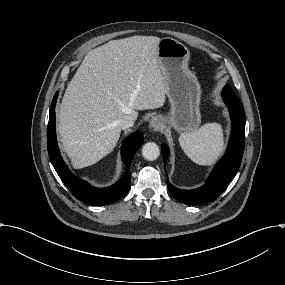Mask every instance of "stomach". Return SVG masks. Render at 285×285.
<instances>
[{"instance_id": "obj_1", "label": "stomach", "mask_w": 285, "mask_h": 285, "mask_svg": "<svg viewBox=\"0 0 285 285\" xmlns=\"http://www.w3.org/2000/svg\"><path fill=\"white\" fill-rule=\"evenodd\" d=\"M190 51L181 42L165 37L157 47V64L167 86L171 104L168 116L158 115L162 126L168 124L178 132L195 131L200 122L201 87L189 69Z\"/></svg>"}]
</instances>
